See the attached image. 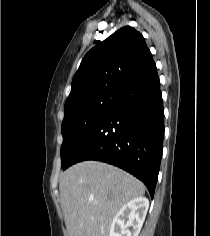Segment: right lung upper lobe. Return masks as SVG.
Returning <instances> with one entry per match:
<instances>
[{"mask_svg": "<svg viewBox=\"0 0 210 236\" xmlns=\"http://www.w3.org/2000/svg\"><path fill=\"white\" fill-rule=\"evenodd\" d=\"M155 70L144 37L132 27H123L85 55L72 80L64 111L95 95L122 92Z\"/></svg>", "mask_w": 210, "mask_h": 236, "instance_id": "1", "label": "right lung upper lobe"}]
</instances>
